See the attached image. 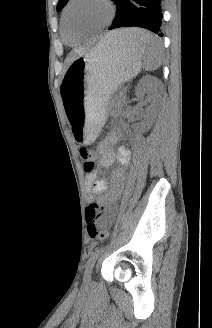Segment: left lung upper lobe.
<instances>
[{"label": "left lung upper lobe", "mask_w": 212, "mask_h": 328, "mask_svg": "<svg viewBox=\"0 0 212 328\" xmlns=\"http://www.w3.org/2000/svg\"><path fill=\"white\" fill-rule=\"evenodd\" d=\"M68 0H59L58 4H57V10L62 9L66 4H67Z\"/></svg>", "instance_id": "5c2ea615"}]
</instances>
